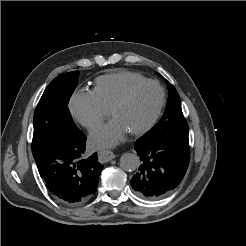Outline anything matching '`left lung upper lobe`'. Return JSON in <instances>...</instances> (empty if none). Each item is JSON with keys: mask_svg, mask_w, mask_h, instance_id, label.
I'll list each match as a JSON object with an SVG mask.
<instances>
[{"mask_svg": "<svg viewBox=\"0 0 246 246\" xmlns=\"http://www.w3.org/2000/svg\"><path fill=\"white\" fill-rule=\"evenodd\" d=\"M166 84L169 91L166 109L160 121L144 135L148 139L169 134H188V124L182 113L180 97L169 81L166 80Z\"/></svg>", "mask_w": 246, "mask_h": 246, "instance_id": "1", "label": "left lung upper lobe"}]
</instances>
